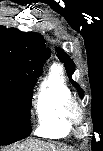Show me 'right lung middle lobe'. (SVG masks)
<instances>
[{"mask_svg":"<svg viewBox=\"0 0 103 151\" xmlns=\"http://www.w3.org/2000/svg\"><path fill=\"white\" fill-rule=\"evenodd\" d=\"M37 79L23 85H10L0 77V144L7 145L31 133L29 108Z\"/></svg>","mask_w":103,"mask_h":151,"instance_id":"dd1d6c3e","label":"right lung middle lobe"}]
</instances>
